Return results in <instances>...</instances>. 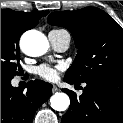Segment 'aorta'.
I'll use <instances>...</instances> for the list:
<instances>
[{"label":"aorta","instance_id":"1","mask_svg":"<svg viewBox=\"0 0 123 123\" xmlns=\"http://www.w3.org/2000/svg\"><path fill=\"white\" fill-rule=\"evenodd\" d=\"M23 52L29 56H41L48 50V40L39 31L26 32L20 41ZM51 107L56 111H65L70 105L69 96L66 93H55L50 98Z\"/></svg>","mask_w":123,"mask_h":123}]
</instances>
